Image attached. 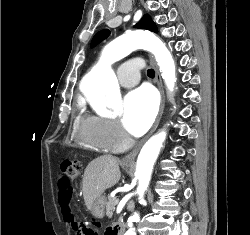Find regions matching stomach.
<instances>
[{"label": "stomach", "mask_w": 250, "mask_h": 235, "mask_svg": "<svg viewBox=\"0 0 250 235\" xmlns=\"http://www.w3.org/2000/svg\"><path fill=\"white\" fill-rule=\"evenodd\" d=\"M124 166L129 167L130 165L124 164ZM105 205H106V198L104 196L97 197L92 204V208H91L92 214L96 218H99V219L103 218Z\"/></svg>", "instance_id": "0dacf381"}]
</instances>
